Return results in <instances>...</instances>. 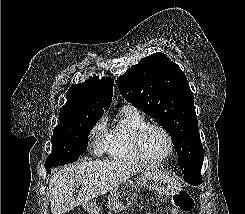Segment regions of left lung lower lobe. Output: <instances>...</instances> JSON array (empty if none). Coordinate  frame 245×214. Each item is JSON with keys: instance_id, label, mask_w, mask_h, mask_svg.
Instances as JSON below:
<instances>
[{"instance_id": "obj_1", "label": "left lung lower lobe", "mask_w": 245, "mask_h": 214, "mask_svg": "<svg viewBox=\"0 0 245 214\" xmlns=\"http://www.w3.org/2000/svg\"><path fill=\"white\" fill-rule=\"evenodd\" d=\"M201 168L202 166L184 169L182 173L184 174L185 181L195 186L200 185L203 182Z\"/></svg>"}]
</instances>
